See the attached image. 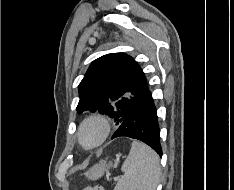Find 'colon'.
I'll return each instance as SVG.
<instances>
[{
	"label": "colon",
	"instance_id": "colon-1",
	"mask_svg": "<svg viewBox=\"0 0 234 190\" xmlns=\"http://www.w3.org/2000/svg\"><path fill=\"white\" fill-rule=\"evenodd\" d=\"M82 190H104V188L101 185H96V186L86 187Z\"/></svg>",
	"mask_w": 234,
	"mask_h": 190
}]
</instances>
